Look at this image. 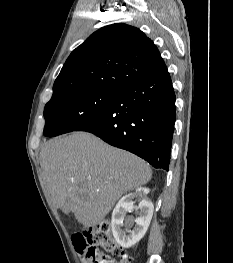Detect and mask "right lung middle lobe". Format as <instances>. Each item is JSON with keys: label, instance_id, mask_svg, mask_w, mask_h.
Returning <instances> with one entry per match:
<instances>
[{"label": "right lung middle lobe", "instance_id": "1", "mask_svg": "<svg viewBox=\"0 0 233 263\" xmlns=\"http://www.w3.org/2000/svg\"><path fill=\"white\" fill-rule=\"evenodd\" d=\"M117 91L83 89L53 96L46 104L43 134L48 137L75 131L101 114Z\"/></svg>", "mask_w": 233, "mask_h": 263}]
</instances>
